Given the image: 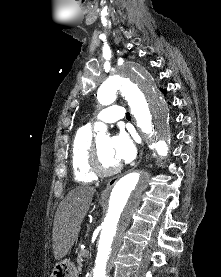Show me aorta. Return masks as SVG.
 <instances>
[{"mask_svg": "<svg viewBox=\"0 0 221 277\" xmlns=\"http://www.w3.org/2000/svg\"><path fill=\"white\" fill-rule=\"evenodd\" d=\"M118 94L128 101L137 126L151 139L149 147L160 155H166L171 141L168 107L149 73L139 65H125L101 84L97 99L101 105L107 106L116 100ZM94 130L99 131L98 136H101L106 133L107 127L97 122ZM148 182L144 171H134L114 185L101 225L93 277H108V268L121 246Z\"/></svg>", "mask_w": 221, "mask_h": 277, "instance_id": "1", "label": "aorta"}]
</instances>
